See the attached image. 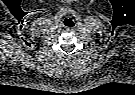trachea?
<instances>
[{"instance_id": "obj_1", "label": "trachea", "mask_w": 135, "mask_h": 95, "mask_svg": "<svg viewBox=\"0 0 135 95\" xmlns=\"http://www.w3.org/2000/svg\"><path fill=\"white\" fill-rule=\"evenodd\" d=\"M64 25L67 27H73L75 25V23L72 21V19H65Z\"/></svg>"}]
</instances>
